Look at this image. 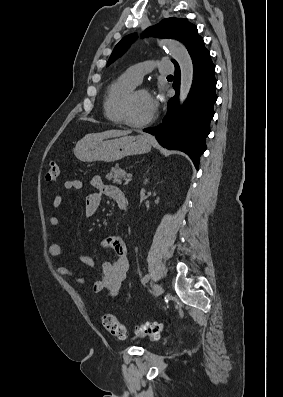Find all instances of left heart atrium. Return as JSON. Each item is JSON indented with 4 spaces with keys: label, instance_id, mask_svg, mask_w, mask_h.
Listing matches in <instances>:
<instances>
[{
    "label": "left heart atrium",
    "instance_id": "left-heart-atrium-1",
    "mask_svg": "<svg viewBox=\"0 0 283 397\" xmlns=\"http://www.w3.org/2000/svg\"><path fill=\"white\" fill-rule=\"evenodd\" d=\"M149 105H150L151 113L154 114L158 109L159 99L150 96Z\"/></svg>",
    "mask_w": 283,
    "mask_h": 397
}]
</instances>
